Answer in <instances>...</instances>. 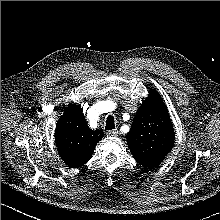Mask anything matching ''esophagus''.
<instances>
[{
  "label": "esophagus",
  "mask_w": 220,
  "mask_h": 220,
  "mask_svg": "<svg viewBox=\"0 0 220 220\" xmlns=\"http://www.w3.org/2000/svg\"><path fill=\"white\" fill-rule=\"evenodd\" d=\"M108 135H112V136H116L119 134L118 129H114V130H109L106 132Z\"/></svg>",
  "instance_id": "1"
}]
</instances>
